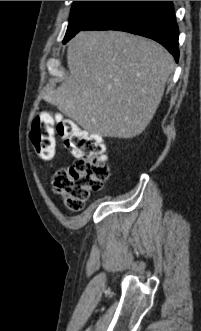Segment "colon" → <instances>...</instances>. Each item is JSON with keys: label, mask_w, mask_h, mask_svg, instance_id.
Instances as JSON below:
<instances>
[{"label": "colon", "mask_w": 201, "mask_h": 331, "mask_svg": "<svg viewBox=\"0 0 201 331\" xmlns=\"http://www.w3.org/2000/svg\"><path fill=\"white\" fill-rule=\"evenodd\" d=\"M54 122L57 134L75 158L71 166L57 171L54 189L68 209L80 211L91 193L101 190L109 177L105 147L98 135L81 130L71 120L43 112L34 120L31 131L36 153L43 160L52 159L55 153Z\"/></svg>", "instance_id": "5ec220e1"}]
</instances>
